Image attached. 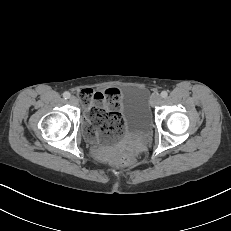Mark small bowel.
Here are the masks:
<instances>
[{
    "label": "small bowel",
    "mask_w": 231,
    "mask_h": 231,
    "mask_svg": "<svg viewBox=\"0 0 231 231\" xmlns=\"http://www.w3.org/2000/svg\"><path fill=\"white\" fill-rule=\"evenodd\" d=\"M102 140L104 141V140H106L105 138H102Z\"/></svg>",
    "instance_id": "obj_1"
}]
</instances>
